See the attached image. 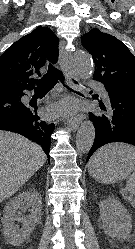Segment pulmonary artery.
<instances>
[{"label": "pulmonary artery", "mask_w": 135, "mask_h": 249, "mask_svg": "<svg viewBox=\"0 0 135 249\" xmlns=\"http://www.w3.org/2000/svg\"><path fill=\"white\" fill-rule=\"evenodd\" d=\"M90 85L95 87V88H98L100 90V93L103 97V99L105 101H108L109 100V97H108V94L107 92L103 89L102 85H100L99 83H95V82H90Z\"/></svg>", "instance_id": "obj_1"}]
</instances>
